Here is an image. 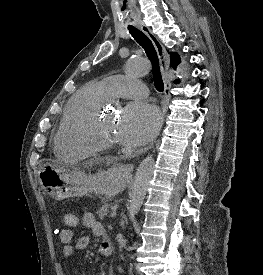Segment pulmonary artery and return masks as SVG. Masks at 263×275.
Instances as JSON below:
<instances>
[{"label":"pulmonary artery","mask_w":263,"mask_h":275,"mask_svg":"<svg viewBox=\"0 0 263 275\" xmlns=\"http://www.w3.org/2000/svg\"><path fill=\"white\" fill-rule=\"evenodd\" d=\"M109 99L113 98H143L148 95L146 85L134 77L112 75L100 81Z\"/></svg>","instance_id":"pulmonary-artery-1"}]
</instances>
